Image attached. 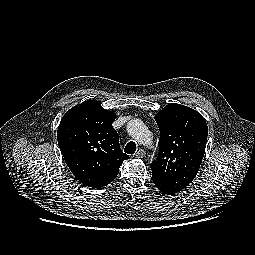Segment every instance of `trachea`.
Returning a JSON list of instances; mask_svg holds the SVG:
<instances>
[{
  "instance_id": "trachea-1",
  "label": "trachea",
  "mask_w": 255,
  "mask_h": 255,
  "mask_svg": "<svg viewBox=\"0 0 255 255\" xmlns=\"http://www.w3.org/2000/svg\"><path fill=\"white\" fill-rule=\"evenodd\" d=\"M136 151V144L134 142H129L124 149V152L127 154H134Z\"/></svg>"
}]
</instances>
